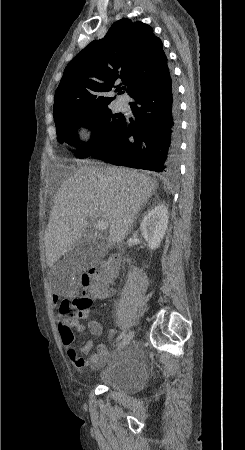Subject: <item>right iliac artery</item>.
I'll use <instances>...</instances> for the list:
<instances>
[{"label":"right iliac artery","instance_id":"1","mask_svg":"<svg viewBox=\"0 0 245 450\" xmlns=\"http://www.w3.org/2000/svg\"><path fill=\"white\" fill-rule=\"evenodd\" d=\"M124 336H125V331L122 332V333L118 336L117 341L120 340L121 338H123Z\"/></svg>","mask_w":245,"mask_h":450}]
</instances>
